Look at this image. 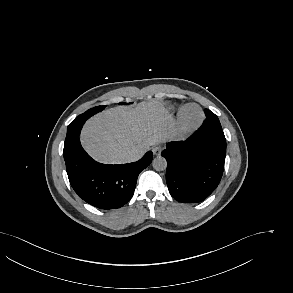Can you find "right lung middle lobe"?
<instances>
[{
    "label": "right lung middle lobe",
    "mask_w": 293,
    "mask_h": 293,
    "mask_svg": "<svg viewBox=\"0 0 293 293\" xmlns=\"http://www.w3.org/2000/svg\"><path fill=\"white\" fill-rule=\"evenodd\" d=\"M105 106H97V107H94L92 109H89L88 111H86L84 114H81L80 116H86V115H89V116H92L93 114L101 111Z\"/></svg>",
    "instance_id": "right-lung-middle-lobe-1"
}]
</instances>
